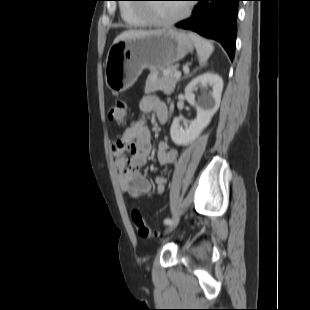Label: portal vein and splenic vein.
<instances>
[{
    "label": "portal vein and splenic vein",
    "mask_w": 310,
    "mask_h": 310,
    "mask_svg": "<svg viewBox=\"0 0 310 310\" xmlns=\"http://www.w3.org/2000/svg\"><path fill=\"white\" fill-rule=\"evenodd\" d=\"M173 77H175V78H180V77H181V72H180V71H176V72L173 74Z\"/></svg>",
    "instance_id": "portal-vein-and-splenic-vein-1"
}]
</instances>
